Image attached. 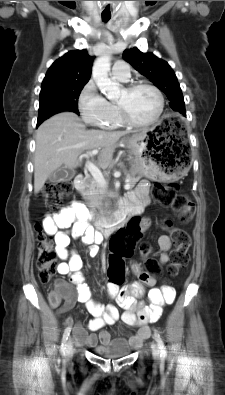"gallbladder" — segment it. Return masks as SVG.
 <instances>
[{"label":"gallbladder","mask_w":225,"mask_h":395,"mask_svg":"<svg viewBox=\"0 0 225 395\" xmlns=\"http://www.w3.org/2000/svg\"><path fill=\"white\" fill-rule=\"evenodd\" d=\"M75 174L76 171L74 169H70L66 166H61L49 176V181L51 183H59L62 181H67L72 179L75 176Z\"/></svg>","instance_id":"1"}]
</instances>
